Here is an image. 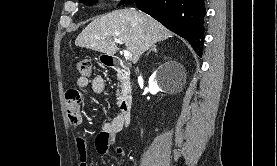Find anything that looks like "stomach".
I'll return each mask as SVG.
<instances>
[{"label": "stomach", "instance_id": "0dacf381", "mask_svg": "<svg viewBox=\"0 0 277 166\" xmlns=\"http://www.w3.org/2000/svg\"><path fill=\"white\" fill-rule=\"evenodd\" d=\"M109 55H106V54H102L98 57V61L101 65H107L108 64V57Z\"/></svg>", "mask_w": 277, "mask_h": 166}]
</instances>
